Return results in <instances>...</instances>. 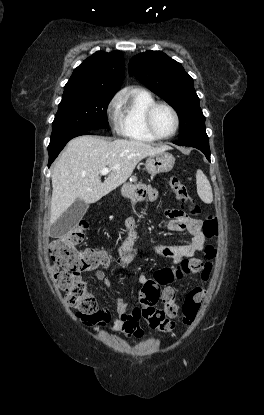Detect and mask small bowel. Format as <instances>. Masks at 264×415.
Returning <instances> with one entry per match:
<instances>
[{"instance_id":"c3829d8e","label":"small bowel","mask_w":264,"mask_h":415,"mask_svg":"<svg viewBox=\"0 0 264 415\" xmlns=\"http://www.w3.org/2000/svg\"><path fill=\"white\" fill-rule=\"evenodd\" d=\"M148 197L151 200H155L157 195L150 191ZM165 216L170 220L167 224L168 229L176 232H184L190 236V241L186 244L165 246L161 244H149L145 246L136 245L134 242V236L136 232V221L130 219L128 225V236L126 240L119 246L117 251L116 265L120 268L128 267L134 259L144 250H152L163 257L169 259L173 265L180 263L185 259L192 258L196 253L203 250L205 236L202 230V221L188 217L182 214L180 211L172 208L165 210ZM96 276L99 279L104 278L102 270H96ZM151 277L147 274H142L139 277L140 284H144ZM107 286L110 283L107 282ZM172 289L167 287L166 290ZM117 316L111 318L110 314L106 310H101L97 314L96 321L100 325H104L107 322H112L108 327L111 332H120L128 337H140L144 334V330L140 324L141 309L136 308L131 313L128 312L127 304L122 299L116 301Z\"/></svg>"}]
</instances>
